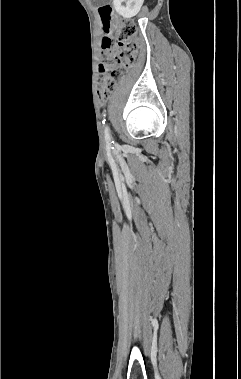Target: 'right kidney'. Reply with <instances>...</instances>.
Returning a JSON list of instances; mask_svg holds the SVG:
<instances>
[{"instance_id":"1","label":"right kidney","mask_w":241,"mask_h":379,"mask_svg":"<svg viewBox=\"0 0 241 379\" xmlns=\"http://www.w3.org/2000/svg\"><path fill=\"white\" fill-rule=\"evenodd\" d=\"M144 0H113L115 11L124 18L135 16L141 9Z\"/></svg>"}]
</instances>
